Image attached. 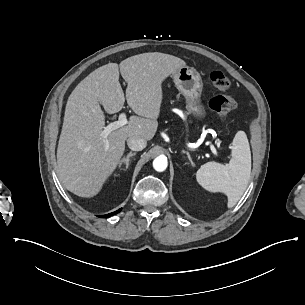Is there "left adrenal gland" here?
<instances>
[{"instance_id":"left-adrenal-gland-1","label":"left adrenal gland","mask_w":305,"mask_h":305,"mask_svg":"<svg viewBox=\"0 0 305 305\" xmlns=\"http://www.w3.org/2000/svg\"><path fill=\"white\" fill-rule=\"evenodd\" d=\"M186 155H187L188 160L190 161V163L193 165L194 163H193V161H192V159H191V157H190V154L187 152Z\"/></svg>"}]
</instances>
